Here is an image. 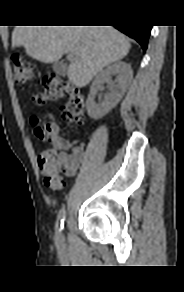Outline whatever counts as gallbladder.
Returning <instances> with one entry per match:
<instances>
[{"instance_id": "gallbladder-1", "label": "gallbladder", "mask_w": 184, "mask_h": 292, "mask_svg": "<svg viewBox=\"0 0 184 292\" xmlns=\"http://www.w3.org/2000/svg\"><path fill=\"white\" fill-rule=\"evenodd\" d=\"M52 69L55 71L56 74L61 75V76H65L68 71L67 65L62 62L53 63Z\"/></svg>"}]
</instances>
